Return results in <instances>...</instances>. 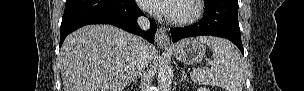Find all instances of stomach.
<instances>
[{"mask_svg":"<svg viewBox=\"0 0 304 91\" xmlns=\"http://www.w3.org/2000/svg\"><path fill=\"white\" fill-rule=\"evenodd\" d=\"M172 50L178 60L187 64L201 62L206 54V48L198 38L183 39Z\"/></svg>","mask_w":304,"mask_h":91,"instance_id":"obj_1","label":"stomach"}]
</instances>
